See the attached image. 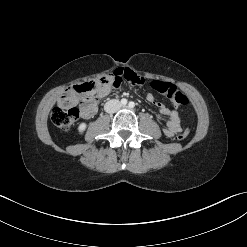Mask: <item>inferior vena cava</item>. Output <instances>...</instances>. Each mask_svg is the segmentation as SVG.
<instances>
[{"label": "inferior vena cava", "mask_w": 247, "mask_h": 247, "mask_svg": "<svg viewBox=\"0 0 247 247\" xmlns=\"http://www.w3.org/2000/svg\"><path fill=\"white\" fill-rule=\"evenodd\" d=\"M121 106L122 105H121L120 101H118L116 99H112V100L105 103L104 110L107 113H115L121 108Z\"/></svg>", "instance_id": "obj_1"}]
</instances>
